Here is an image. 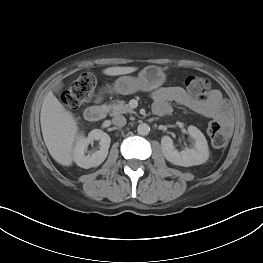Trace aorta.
Masks as SVG:
<instances>
[{"instance_id": "762f6f07", "label": "aorta", "mask_w": 263, "mask_h": 263, "mask_svg": "<svg viewBox=\"0 0 263 263\" xmlns=\"http://www.w3.org/2000/svg\"><path fill=\"white\" fill-rule=\"evenodd\" d=\"M137 132L139 135L146 136L150 132V127L147 123H141L137 127Z\"/></svg>"}]
</instances>
